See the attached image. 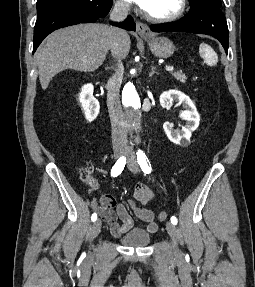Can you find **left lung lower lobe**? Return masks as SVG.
<instances>
[{"label": "left lung lower lobe", "instance_id": "obj_1", "mask_svg": "<svg viewBox=\"0 0 255 287\" xmlns=\"http://www.w3.org/2000/svg\"><path fill=\"white\" fill-rule=\"evenodd\" d=\"M154 32H189L211 35L218 39L228 52V26L220 8L209 4L192 6L188 14L179 21L150 26Z\"/></svg>", "mask_w": 255, "mask_h": 287}]
</instances>
